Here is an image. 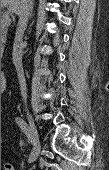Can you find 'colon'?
<instances>
[{"label":"colon","mask_w":109,"mask_h":170,"mask_svg":"<svg viewBox=\"0 0 109 170\" xmlns=\"http://www.w3.org/2000/svg\"><path fill=\"white\" fill-rule=\"evenodd\" d=\"M5 170H16V169H15V167H13L12 165L7 164V165L5 166Z\"/></svg>","instance_id":"1"}]
</instances>
